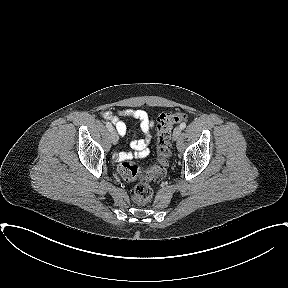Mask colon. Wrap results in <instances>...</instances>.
<instances>
[{"instance_id": "colon-1", "label": "colon", "mask_w": 288, "mask_h": 288, "mask_svg": "<svg viewBox=\"0 0 288 288\" xmlns=\"http://www.w3.org/2000/svg\"><path fill=\"white\" fill-rule=\"evenodd\" d=\"M186 119L182 112L162 113L157 122V153L158 158L154 165L143 168L131 159L122 160L118 171L120 176L129 182L138 181L132 199L137 204L147 203L153 194L150 182L160 181L166 175L167 160L170 154V133L173 127Z\"/></svg>"}]
</instances>
